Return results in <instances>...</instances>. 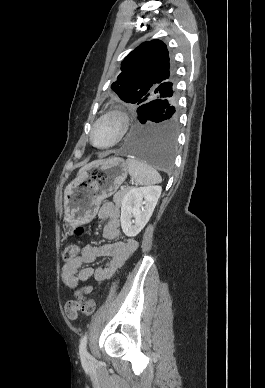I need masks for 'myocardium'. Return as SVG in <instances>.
Returning a JSON list of instances; mask_svg holds the SVG:
<instances>
[{
	"label": "myocardium",
	"instance_id": "myocardium-1",
	"mask_svg": "<svg viewBox=\"0 0 265 388\" xmlns=\"http://www.w3.org/2000/svg\"><path fill=\"white\" fill-rule=\"evenodd\" d=\"M109 118H113L116 122V127H115V136L113 138V140L109 143H106V144H102L98 147L100 148H109V147H112L116 144H118L125 136L126 134V131L128 129V126H129V117L127 116V114L123 111H120V110H109L107 111L106 113H104L95 123L93 129L91 130L90 132V140L91 142L92 141V138H93V131L105 120L109 119Z\"/></svg>",
	"mask_w": 265,
	"mask_h": 388
}]
</instances>
